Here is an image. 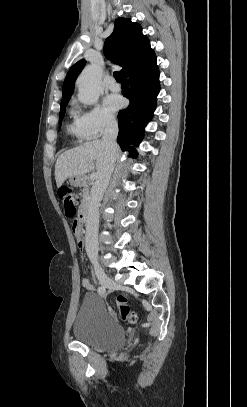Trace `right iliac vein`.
I'll use <instances>...</instances> for the list:
<instances>
[{"label":"right iliac vein","instance_id":"right-iliac-vein-1","mask_svg":"<svg viewBox=\"0 0 247 407\" xmlns=\"http://www.w3.org/2000/svg\"><path fill=\"white\" fill-rule=\"evenodd\" d=\"M95 272L99 282L106 288L109 289H117V288H125L113 279H111L105 272L99 267H95Z\"/></svg>","mask_w":247,"mask_h":407}]
</instances>
